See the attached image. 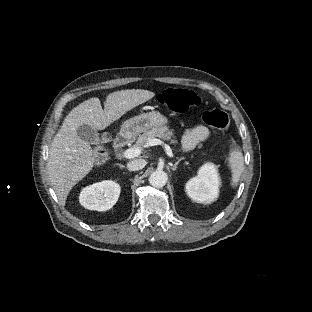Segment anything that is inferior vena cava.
Listing matches in <instances>:
<instances>
[{
  "label": "inferior vena cava",
  "mask_w": 312,
  "mask_h": 312,
  "mask_svg": "<svg viewBox=\"0 0 312 312\" xmlns=\"http://www.w3.org/2000/svg\"><path fill=\"white\" fill-rule=\"evenodd\" d=\"M146 165V161L142 159H136L127 163V169L130 171H139Z\"/></svg>",
  "instance_id": "obj_1"
}]
</instances>
